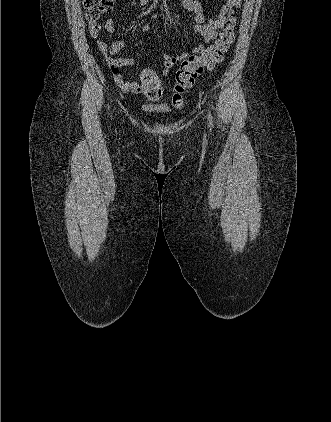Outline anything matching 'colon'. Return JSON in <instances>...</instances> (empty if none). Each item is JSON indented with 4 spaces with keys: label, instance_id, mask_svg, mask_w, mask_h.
<instances>
[{
    "label": "colon",
    "instance_id": "colon-1",
    "mask_svg": "<svg viewBox=\"0 0 331 422\" xmlns=\"http://www.w3.org/2000/svg\"><path fill=\"white\" fill-rule=\"evenodd\" d=\"M86 9V18L89 22H96L104 13L113 10L115 0H83ZM234 15L229 17L228 24L220 31L218 38L205 51L197 56L183 60L179 64L173 89L172 101L175 107L180 108L184 104V94L193 86L196 78L203 70H212L221 63L225 54L235 40ZM139 82L143 87V94L150 100H158L163 92L161 81L156 72L146 68L139 76Z\"/></svg>",
    "mask_w": 331,
    "mask_h": 422
}]
</instances>
